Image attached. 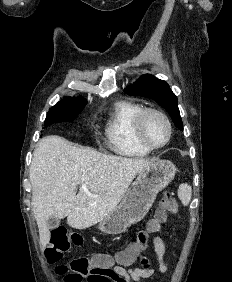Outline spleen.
Returning a JSON list of instances; mask_svg holds the SVG:
<instances>
[{
  "instance_id": "3e777b00",
  "label": "spleen",
  "mask_w": 232,
  "mask_h": 282,
  "mask_svg": "<svg viewBox=\"0 0 232 282\" xmlns=\"http://www.w3.org/2000/svg\"><path fill=\"white\" fill-rule=\"evenodd\" d=\"M192 189L188 184H181L178 188V197L184 206H187L191 200Z\"/></svg>"
}]
</instances>
